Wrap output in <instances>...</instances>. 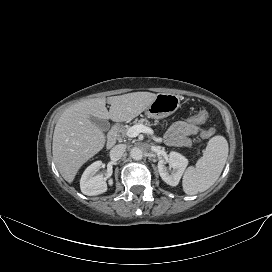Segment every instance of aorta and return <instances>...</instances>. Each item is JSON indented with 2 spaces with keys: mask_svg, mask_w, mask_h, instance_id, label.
Wrapping results in <instances>:
<instances>
[{
  "mask_svg": "<svg viewBox=\"0 0 272 272\" xmlns=\"http://www.w3.org/2000/svg\"><path fill=\"white\" fill-rule=\"evenodd\" d=\"M130 156L134 159V160H141L143 158V151L139 148H132L130 151Z\"/></svg>",
  "mask_w": 272,
  "mask_h": 272,
  "instance_id": "obj_1",
  "label": "aorta"
}]
</instances>
